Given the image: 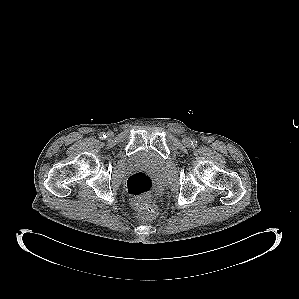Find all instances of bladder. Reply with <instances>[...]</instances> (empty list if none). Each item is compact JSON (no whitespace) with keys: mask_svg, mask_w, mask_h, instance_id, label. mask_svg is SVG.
Masks as SVG:
<instances>
[{"mask_svg":"<svg viewBox=\"0 0 299 299\" xmlns=\"http://www.w3.org/2000/svg\"><path fill=\"white\" fill-rule=\"evenodd\" d=\"M163 161L161 158L149 149H141L129 157L130 165H155L158 166Z\"/></svg>","mask_w":299,"mask_h":299,"instance_id":"31cf9c89","label":"bladder"}]
</instances>
